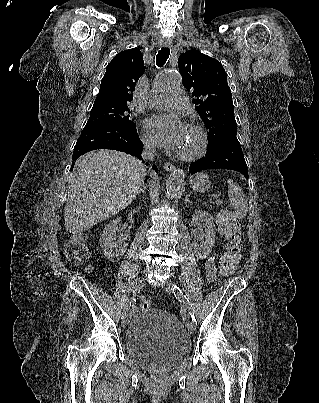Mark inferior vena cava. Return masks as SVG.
<instances>
[{
    "instance_id": "inferior-vena-cava-1",
    "label": "inferior vena cava",
    "mask_w": 319,
    "mask_h": 403,
    "mask_svg": "<svg viewBox=\"0 0 319 403\" xmlns=\"http://www.w3.org/2000/svg\"><path fill=\"white\" fill-rule=\"evenodd\" d=\"M155 156V145L150 141H144L143 157L148 160H153Z\"/></svg>"
}]
</instances>
